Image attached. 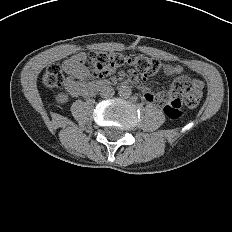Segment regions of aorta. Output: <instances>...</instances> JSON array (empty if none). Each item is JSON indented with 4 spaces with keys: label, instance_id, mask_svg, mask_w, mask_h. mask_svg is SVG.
<instances>
[{
    "label": "aorta",
    "instance_id": "762f6f07",
    "mask_svg": "<svg viewBox=\"0 0 232 232\" xmlns=\"http://www.w3.org/2000/svg\"><path fill=\"white\" fill-rule=\"evenodd\" d=\"M118 92L121 97L128 98L132 94V89L127 85H123L119 88Z\"/></svg>",
    "mask_w": 232,
    "mask_h": 232
}]
</instances>
